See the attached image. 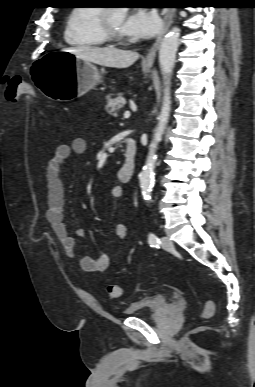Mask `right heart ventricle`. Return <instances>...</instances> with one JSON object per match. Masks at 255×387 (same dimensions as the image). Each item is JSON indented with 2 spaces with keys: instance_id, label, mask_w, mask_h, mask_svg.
Returning a JSON list of instances; mask_svg holds the SVG:
<instances>
[{
  "instance_id": "1",
  "label": "right heart ventricle",
  "mask_w": 255,
  "mask_h": 387,
  "mask_svg": "<svg viewBox=\"0 0 255 387\" xmlns=\"http://www.w3.org/2000/svg\"><path fill=\"white\" fill-rule=\"evenodd\" d=\"M101 9L95 6L73 8L65 23V41L78 48H94L105 45L106 40L99 27Z\"/></svg>"
}]
</instances>
